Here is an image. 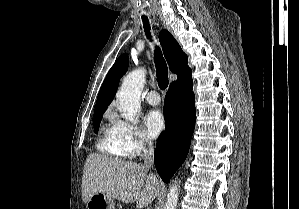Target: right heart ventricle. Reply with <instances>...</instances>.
<instances>
[{
	"label": "right heart ventricle",
	"instance_id": "right-heart-ventricle-1",
	"mask_svg": "<svg viewBox=\"0 0 299 209\" xmlns=\"http://www.w3.org/2000/svg\"><path fill=\"white\" fill-rule=\"evenodd\" d=\"M97 147L103 153L115 156H124L123 151L118 143L116 130L113 124H106L101 128Z\"/></svg>",
	"mask_w": 299,
	"mask_h": 209
}]
</instances>
